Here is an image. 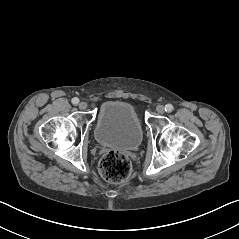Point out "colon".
Returning <instances> with one entry per match:
<instances>
[{"instance_id":"1","label":"colon","mask_w":239,"mask_h":239,"mask_svg":"<svg viewBox=\"0 0 239 239\" xmlns=\"http://www.w3.org/2000/svg\"><path fill=\"white\" fill-rule=\"evenodd\" d=\"M99 171L102 177L111 183L127 180L131 174V163L125 155L108 152L100 160Z\"/></svg>"}]
</instances>
